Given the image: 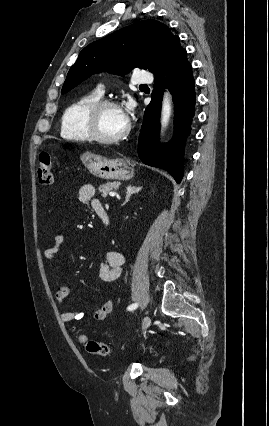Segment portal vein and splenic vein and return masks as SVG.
Segmentation results:
<instances>
[{
	"instance_id": "obj_1",
	"label": "portal vein and splenic vein",
	"mask_w": 269,
	"mask_h": 426,
	"mask_svg": "<svg viewBox=\"0 0 269 426\" xmlns=\"http://www.w3.org/2000/svg\"><path fill=\"white\" fill-rule=\"evenodd\" d=\"M109 196L114 197V196H116V193L115 192H110Z\"/></svg>"
}]
</instances>
